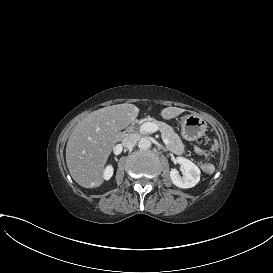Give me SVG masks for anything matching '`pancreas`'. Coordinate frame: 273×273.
<instances>
[{"label":"pancreas","mask_w":273,"mask_h":273,"mask_svg":"<svg viewBox=\"0 0 273 273\" xmlns=\"http://www.w3.org/2000/svg\"><path fill=\"white\" fill-rule=\"evenodd\" d=\"M150 122L157 124L160 132L169 141V144L166 145L167 150L171 151L176 155H181L184 152V144L182 143V140L180 139L178 134L174 132L171 126L156 119H151Z\"/></svg>","instance_id":"1"}]
</instances>
